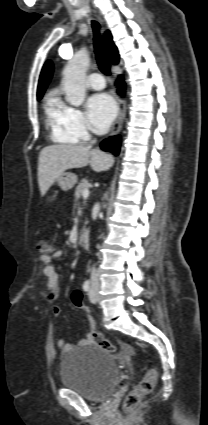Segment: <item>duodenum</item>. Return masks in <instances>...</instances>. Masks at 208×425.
<instances>
[{
    "label": "duodenum",
    "instance_id": "410a0bca",
    "mask_svg": "<svg viewBox=\"0 0 208 425\" xmlns=\"http://www.w3.org/2000/svg\"><path fill=\"white\" fill-rule=\"evenodd\" d=\"M79 243L81 246L87 248L89 246V234L87 232H83L80 235Z\"/></svg>",
    "mask_w": 208,
    "mask_h": 425
}]
</instances>
